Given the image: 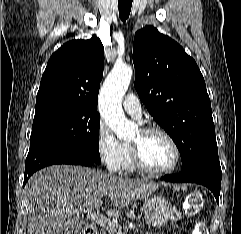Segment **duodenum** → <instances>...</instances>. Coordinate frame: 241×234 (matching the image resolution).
Wrapping results in <instances>:
<instances>
[{
    "label": "duodenum",
    "mask_w": 241,
    "mask_h": 234,
    "mask_svg": "<svg viewBox=\"0 0 241 234\" xmlns=\"http://www.w3.org/2000/svg\"><path fill=\"white\" fill-rule=\"evenodd\" d=\"M82 234H97L96 227L93 224H87L83 228Z\"/></svg>",
    "instance_id": "duodenum-1"
}]
</instances>
